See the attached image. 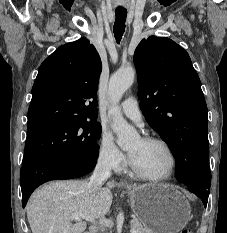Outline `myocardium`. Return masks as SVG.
Wrapping results in <instances>:
<instances>
[{"label": "myocardium", "mask_w": 227, "mask_h": 233, "mask_svg": "<svg viewBox=\"0 0 227 233\" xmlns=\"http://www.w3.org/2000/svg\"><path fill=\"white\" fill-rule=\"evenodd\" d=\"M141 140L145 143H155V144H159L162 147H164L165 150L168 152L170 160H171L170 168L163 175H159V176L149 175V174H146V173L142 172L141 170H139L135 166V164L133 163V161L129 155L128 156V166L130 168V171L136 177L143 179V180H147V181H164V180L169 179L174 174L176 167H177V158H176V155H175L172 147L165 140L158 138V137L146 136V137H143Z\"/></svg>", "instance_id": "f54148a6"}]
</instances>
